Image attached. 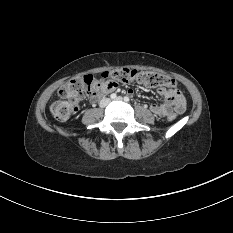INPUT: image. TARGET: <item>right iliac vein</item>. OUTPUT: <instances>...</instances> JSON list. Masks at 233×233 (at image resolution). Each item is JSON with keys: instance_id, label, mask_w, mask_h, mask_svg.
<instances>
[{"instance_id": "1", "label": "right iliac vein", "mask_w": 233, "mask_h": 233, "mask_svg": "<svg viewBox=\"0 0 233 233\" xmlns=\"http://www.w3.org/2000/svg\"><path fill=\"white\" fill-rule=\"evenodd\" d=\"M109 103V99H104L102 101V106H106Z\"/></svg>"}]
</instances>
